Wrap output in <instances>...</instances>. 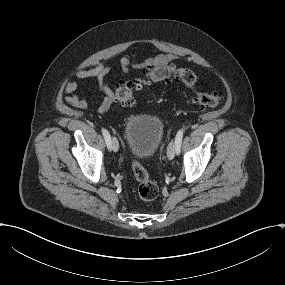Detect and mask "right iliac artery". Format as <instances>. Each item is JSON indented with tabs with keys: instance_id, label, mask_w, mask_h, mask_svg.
Returning <instances> with one entry per match:
<instances>
[{
	"instance_id": "obj_1",
	"label": "right iliac artery",
	"mask_w": 285,
	"mask_h": 285,
	"mask_svg": "<svg viewBox=\"0 0 285 285\" xmlns=\"http://www.w3.org/2000/svg\"><path fill=\"white\" fill-rule=\"evenodd\" d=\"M101 131H102V134H103L104 139H105V141H106L107 147H108V149H110V142H111L110 134H109V132H108L106 129H104V128H102Z\"/></svg>"
}]
</instances>
